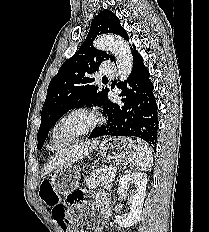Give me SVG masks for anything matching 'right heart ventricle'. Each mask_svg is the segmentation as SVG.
<instances>
[{"label": "right heart ventricle", "mask_w": 209, "mask_h": 232, "mask_svg": "<svg viewBox=\"0 0 209 232\" xmlns=\"http://www.w3.org/2000/svg\"><path fill=\"white\" fill-rule=\"evenodd\" d=\"M54 143L56 144V146L54 147L53 150H59L60 148H62L66 144V141L58 138V139L54 140Z\"/></svg>", "instance_id": "right-heart-ventricle-1"}]
</instances>
